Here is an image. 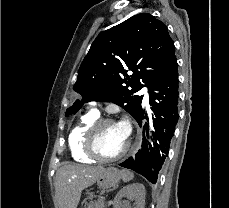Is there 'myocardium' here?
<instances>
[{
	"label": "myocardium",
	"instance_id": "myocardium-1",
	"mask_svg": "<svg viewBox=\"0 0 229 208\" xmlns=\"http://www.w3.org/2000/svg\"><path fill=\"white\" fill-rule=\"evenodd\" d=\"M106 124H117V122L110 118H98L88 128L86 134L87 143L82 148V153H87V158H97L101 161L111 162L124 158L130 151L132 143L128 140L123 150L116 153V157H101V152H95V139H100V130Z\"/></svg>",
	"mask_w": 229,
	"mask_h": 208
}]
</instances>
